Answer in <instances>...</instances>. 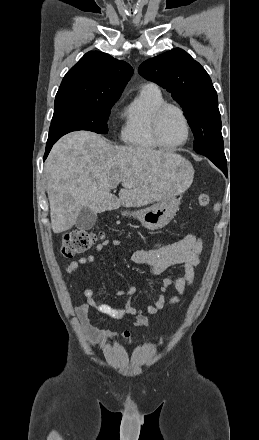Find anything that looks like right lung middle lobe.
<instances>
[{"label":"right lung middle lobe","mask_w":259,"mask_h":440,"mask_svg":"<svg viewBox=\"0 0 259 440\" xmlns=\"http://www.w3.org/2000/svg\"><path fill=\"white\" fill-rule=\"evenodd\" d=\"M117 100H97L75 96L56 97L48 140L59 139L77 130L107 134L110 109Z\"/></svg>","instance_id":"1"}]
</instances>
